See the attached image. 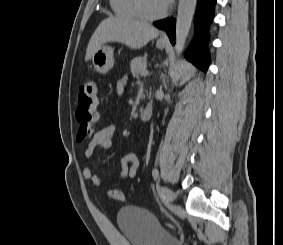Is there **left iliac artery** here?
I'll return each instance as SVG.
<instances>
[{"label":"left iliac artery","mask_w":283,"mask_h":245,"mask_svg":"<svg viewBox=\"0 0 283 245\" xmlns=\"http://www.w3.org/2000/svg\"><path fill=\"white\" fill-rule=\"evenodd\" d=\"M152 176H153V178H154L155 180L158 179V177H159V171H158L157 168H154V169L152 170Z\"/></svg>","instance_id":"44dca946"}]
</instances>
